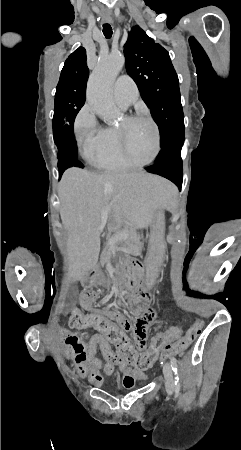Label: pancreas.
Wrapping results in <instances>:
<instances>
[{
	"label": "pancreas",
	"mask_w": 241,
	"mask_h": 450,
	"mask_svg": "<svg viewBox=\"0 0 241 450\" xmlns=\"http://www.w3.org/2000/svg\"><path fill=\"white\" fill-rule=\"evenodd\" d=\"M121 231H127V230H119V232H116V234L117 233H121ZM128 231L129 232H127V234H124V236H123L124 240H127V242H129V243L130 242H137V237L139 236V233L138 232H132L133 231L132 227H129ZM110 232H111V230H110ZM116 234H115V236H117ZM108 236H111V234H108ZM117 238H118V236H117ZM117 238H115V240H117ZM139 246H141V244H139ZM139 246L138 245H130V250H138ZM106 250H107V248H105L103 254H106ZM102 260H103V258H102ZM102 264H105V262H102Z\"/></svg>",
	"instance_id": "cf45deb5"
}]
</instances>
